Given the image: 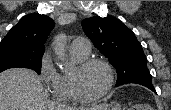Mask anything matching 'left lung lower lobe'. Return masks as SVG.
<instances>
[{"label": "left lung lower lobe", "instance_id": "left-lung-lower-lobe-1", "mask_svg": "<svg viewBox=\"0 0 171 110\" xmlns=\"http://www.w3.org/2000/svg\"><path fill=\"white\" fill-rule=\"evenodd\" d=\"M146 87L156 93L155 88L153 87V85H147Z\"/></svg>", "mask_w": 171, "mask_h": 110}]
</instances>
